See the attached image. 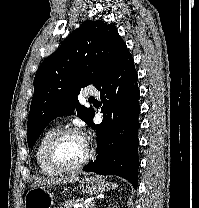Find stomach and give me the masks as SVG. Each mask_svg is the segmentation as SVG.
Returning <instances> with one entry per match:
<instances>
[{
  "mask_svg": "<svg viewBox=\"0 0 199 208\" xmlns=\"http://www.w3.org/2000/svg\"><path fill=\"white\" fill-rule=\"evenodd\" d=\"M109 184L100 177H85L79 181L82 193L97 195L109 190ZM54 204L53 193L46 185L32 187L25 196V208H52Z\"/></svg>",
  "mask_w": 199,
  "mask_h": 208,
  "instance_id": "obj_1",
  "label": "stomach"
}]
</instances>
